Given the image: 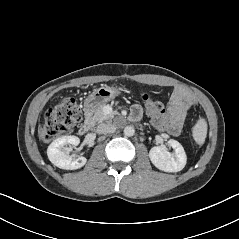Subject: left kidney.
I'll return each mask as SVG.
<instances>
[{
  "instance_id": "obj_1",
  "label": "left kidney",
  "mask_w": 239,
  "mask_h": 239,
  "mask_svg": "<svg viewBox=\"0 0 239 239\" xmlns=\"http://www.w3.org/2000/svg\"><path fill=\"white\" fill-rule=\"evenodd\" d=\"M168 145L174 149V154H171L165 145H161L151 148L149 158L159 170L165 172L181 171L187 162L184 148L178 141L173 139L168 141Z\"/></svg>"
}]
</instances>
